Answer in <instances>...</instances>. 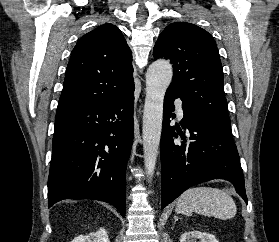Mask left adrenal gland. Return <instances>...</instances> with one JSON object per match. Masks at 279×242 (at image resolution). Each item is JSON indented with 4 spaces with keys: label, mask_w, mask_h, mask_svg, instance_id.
Wrapping results in <instances>:
<instances>
[{
    "label": "left adrenal gland",
    "mask_w": 279,
    "mask_h": 242,
    "mask_svg": "<svg viewBox=\"0 0 279 242\" xmlns=\"http://www.w3.org/2000/svg\"><path fill=\"white\" fill-rule=\"evenodd\" d=\"M179 218L177 216L174 217V222H176Z\"/></svg>",
    "instance_id": "a2214340"
}]
</instances>
